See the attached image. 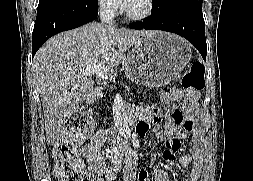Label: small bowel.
Here are the masks:
<instances>
[{"label":"small bowel","instance_id":"small-bowel-1","mask_svg":"<svg viewBox=\"0 0 253 181\" xmlns=\"http://www.w3.org/2000/svg\"><path fill=\"white\" fill-rule=\"evenodd\" d=\"M163 104L181 103L180 109L174 110L166 118L165 127V149L163 157L167 162L175 160L174 153L180 148L179 140L187 133L194 132L193 121L184 110L190 114L197 107L198 95L190 91L171 89L160 95ZM133 112L139 122L136 126V134L145 136L151 124L158 125L161 122L162 110L160 106L154 105L148 108L133 107ZM179 127V129H177ZM118 136L110 129L99 130L91 138L89 143L78 148L79 153L86 158L90 177L96 176L99 181H113L121 172L123 156L116 148L113 152L102 151L106 143H116ZM178 163L182 168H188L184 181H198L202 169V141L198 133L190 147V154L181 155ZM124 181H153L146 168H142L136 178V169L132 163H126L123 169ZM94 181V179H93ZM154 181H173L163 168L154 172Z\"/></svg>","mask_w":253,"mask_h":181}]
</instances>
